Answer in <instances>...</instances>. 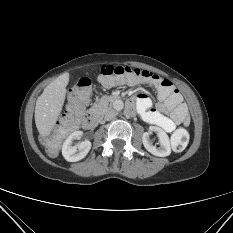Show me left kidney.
I'll return each instance as SVG.
<instances>
[{"mask_svg": "<svg viewBox=\"0 0 233 233\" xmlns=\"http://www.w3.org/2000/svg\"><path fill=\"white\" fill-rule=\"evenodd\" d=\"M154 132L159 138L160 147H156L149 140L150 133ZM142 142L147 151L158 157H166L171 153L170 140L164 130L156 126H150L149 132H145L142 136Z\"/></svg>", "mask_w": 233, "mask_h": 233, "instance_id": "5707ae66", "label": "left kidney"}]
</instances>
